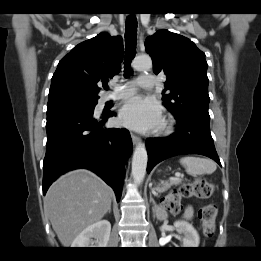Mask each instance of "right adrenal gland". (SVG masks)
Returning <instances> with one entry per match:
<instances>
[{"label": "right adrenal gland", "mask_w": 261, "mask_h": 261, "mask_svg": "<svg viewBox=\"0 0 261 261\" xmlns=\"http://www.w3.org/2000/svg\"><path fill=\"white\" fill-rule=\"evenodd\" d=\"M108 213H111V207L109 208Z\"/></svg>", "instance_id": "2a0ac1e0"}]
</instances>
